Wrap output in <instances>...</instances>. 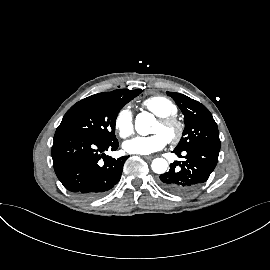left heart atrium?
Instances as JSON below:
<instances>
[{
    "label": "left heart atrium",
    "mask_w": 270,
    "mask_h": 270,
    "mask_svg": "<svg viewBox=\"0 0 270 270\" xmlns=\"http://www.w3.org/2000/svg\"><path fill=\"white\" fill-rule=\"evenodd\" d=\"M168 139L161 133L151 136H138L126 141L124 149L131 154L149 155L162 150L167 145Z\"/></svg>",
    "instance_id": "1"
}]
</instances>
